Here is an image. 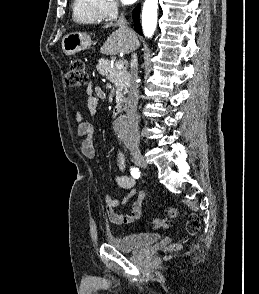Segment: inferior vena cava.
<instances>
[{
	"mask_svg": "<svg viewBox=\"0 0 259 294\" xmlns=\"http://www.w3.org/2000/svg\"><path fill=\"white\" fill-rule=\"evenodd\" d=\"M117 25L123 29L126 30L127 32H133L131 29L128 28L127 26V21L124 17L123 14L119 16V19L117 21ZM134 51V50H133ZM131 73L129 76V98H128V105H127V116L128 119L132 122V124H136L138 120V115H137V104H138V61H137V56L134 53L131 58ZM132 142L134 144L139 143V137L137 134L136 129L133 131V136H132Z\"/></svg>",
	"mask_w": 259,
	"mask_h": 294,
	"instance_id": "1",
	"label": "inferior vena cava"
}]
</instances>
